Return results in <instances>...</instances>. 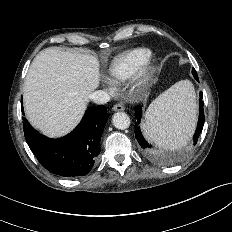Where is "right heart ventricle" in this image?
I'll list each match as a JSON object with an SVG mask.
<instances>
[{
	"label": "right heart ventricle",
	"mask_w": 232,
	"mask_h": 232,
	"mask_svg": "<svg viewBox=\"0 0 232 232\" xmlns=\"http://www.w3.org/2000/svg\"><path fill=\"white\" fill-rule=\"evenodd\" d=\"M152 51L146 47H137L114 57L108 74L114 81H125L139 73L151 60Z\"/></svg>",
	"instance_id": "1"
}]
</instances>
